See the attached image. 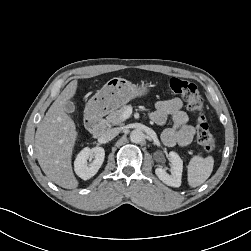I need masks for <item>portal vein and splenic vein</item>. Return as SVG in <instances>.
I'll use <instances>...</instances> for the list:
<instances>
[{
	"instance_id": "obj_1",
	"label": "portal vein and splenic vein",
	"mask_w": 251,
	"mask_h": 251,
	"mask_svg": "<svg viewBox=\"0 0 251 251\" xmlns=\"http://www.w3.org/2000/svg\"><path fill=\"white\" fill-rule=\"evenodd\" d=\"M131 113H132L131 109H127V110L123 113V115H122L123 119L125 120V119L129 118L130 115H131Z\"/></svg>"
}]
</instances>
